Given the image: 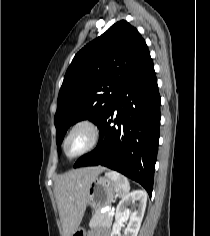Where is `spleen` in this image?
Returning <instances> with one entry per match:
<instances>
[{"label": "spleen", "mask_w": 210, "mask_h": 236, "mask_svg": "<svg viewBox=\"0 0 210 236\" xmlns=\"http://www.w3.org/2000/svg\"><path fill=\"white\" fill-rule=\"evenodd\" d=\"M106 176L111 178L116 184V192L120 197H125L130 191L128 179L116 171H109Z\"/></svg>", "instance_id": "spleen-1"}]
</instances>
